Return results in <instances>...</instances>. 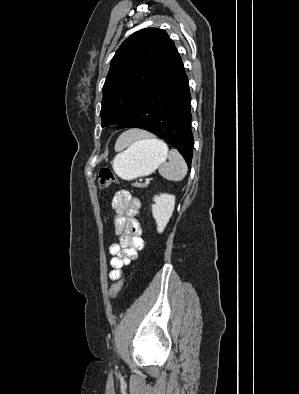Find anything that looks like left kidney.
Wrapping results in <instances>:
<instances>
[{
  "label": "left kidney",
  "mask_w": 299,
  "mask_h": 394,
  "mask_svg": "<svg viewBox=\"0 0 299 394\" xmlns=\"http://www.w3.org/2000/svg\"><path fill=\"white\" fill-rule=\"evenodd\" d=\"M152 215L157 224L158 233H162L172 216L175 206V196L169 194L156 195L153 198Z\"/></svg>",
  "instance_id": "obj_1"
}]
</instances>
